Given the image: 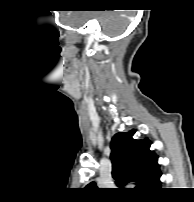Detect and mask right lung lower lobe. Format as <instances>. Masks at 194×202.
Instances as JSON below:
<instances>
[{
	"mask_svg": "<svg viewBox=\"0 0 194 202\" xmlns=\"http://www.w3.org/2000/svg\"><path fill=\"white\" fill-rule=\"evenodd\" d=\"M157 190H160V188H157V189L153 190L152 192H155V191H157Z\"/></svg>",
	"mask_w": 194,
	"mask_h": 202,
	"instance_id": "1",
	"label": "right lung lower lobe"
}]
</instances>
